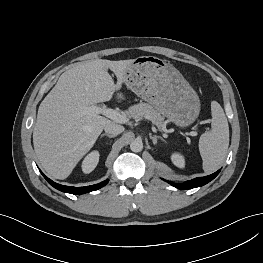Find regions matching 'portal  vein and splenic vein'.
I'll use <instances>...</instances> for the list:
<instances>
[{
    "label": "portal vein and splenic vein",
    "mask_w": 263,
    "mask_h": 263,
    "mask_svg": "<svg viewBox=\"0 0 263 263\" xmlns=\"http://www.w3.org/2000/svg\"><path fill=\"white\" fill-rule=\"evenodd\" d=\"M83 113L87 115L102 114L105 117L117 123L128 122V119L125 116L121 115L118 111L111 109V108H107V107L89 106L83 109ZM187 135L197 136L198 133L195 131H192V132L187 133Z\"/></svg>",
    "instance_id": "portal-vein-and-splenic-vein-1"
}]
</instances>
